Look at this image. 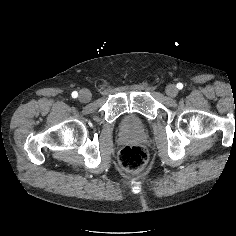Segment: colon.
<instances>
[{
	"label": "colon",
	"instance_id": "colon-1",
	"mask_svg": "<svg viewBox=\"0 0 236 236\" xmlns=\"http://www.w3.org/2000/svg\"><path fill=\"white\" fill-rule=\"evenodd\" d=\"M119 164L126 171H140L147 163V154L138 145L125 146L119 153Z\"/></svg>",
	"mask_w": 236,
	"mask_h": 236
}]
</instances>
